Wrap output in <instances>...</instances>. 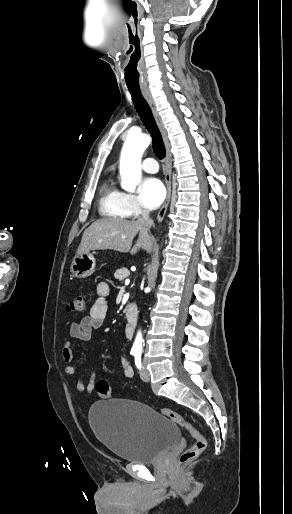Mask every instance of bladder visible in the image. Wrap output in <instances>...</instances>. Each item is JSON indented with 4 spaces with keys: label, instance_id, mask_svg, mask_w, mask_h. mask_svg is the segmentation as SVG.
Segmentation results:
<instances>
[{
    "label": "bladder",
    "instance_id": "31cf9c89",
    "mask_svg": "<svg viewBox=\"0 0 292 514\" xmlns=\"http://www.w3.org/2000/svg\"><path fill=\"white\" fill-rule=\"evenodd\" d=\"M88 420L101 444L116 458L131 463L157 461L180 438L172 420L135 400L96 402Z\"/></svg>",
    "mask_w": 292,
    "mask_h": 514
}]
</instances>
